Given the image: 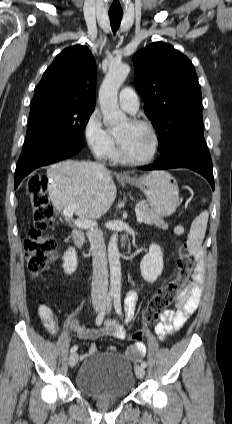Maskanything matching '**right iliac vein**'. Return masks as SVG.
Wrapping results in <instances>:
<instances>
[{
    "label": "right iliac vein",
    "instance_id": "1",
    "mask_svg": "<svg viewBox=\"0 0 232 424\" xmlns=\"http://www.w3.org/2000/svg\"><path fill=\"white\" fill-rule=\"evenodd\" d=\"M94 308L96 312H99L102 309V304L98 303L94 306ZM77 362H78V354L73 352L69 357V366L73 368L76 366Z\"/></svg>",
    "mask_w": 232,
    "mask_h": 424
}]
</instances>
